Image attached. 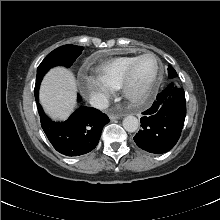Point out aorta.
Returning <instances> with one entry per match:
<instances>
[{"mask_svg": "<svg viewBox=\"0 0 220 220\" xmlns=\"http://www.w3.org/2000/svg\"><path fill=\"white\" fill-rule=\"evenodd\" d=\"M138 126L139 121L135 116L129 115L123 119V127L127 132H135Z\"/></svg>", "mask_w": 220, "mask_h": 220, "instance_id": "obj_1", "label": "aorta"}]
</instances>
